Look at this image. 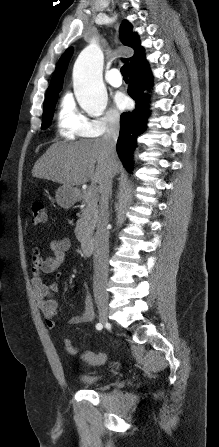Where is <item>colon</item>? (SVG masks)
<instances>
[{
  "label": "colon",
  "instance_id": "colon-1",
  "mask_svg": "<svg viewBox=\"0 0 219 447\" xmlns=\"http://www.w3.org/2000/svg\"><path fill=\"white\" fill-rule=\"evenodd\" d=\"M30 221L33 226H41L46 221L45 205L41 200H35L30 204L29 207ZM64 347L67 353L70 355H75L77 353V348L73 345L70 340H65ZM84 359L93 365H101L105 362L106 357L102 353H91L87 352L84 355Z\"/></svg>",
  "mask_w": 219,
  "mask_h": 447
}]
</instances>
